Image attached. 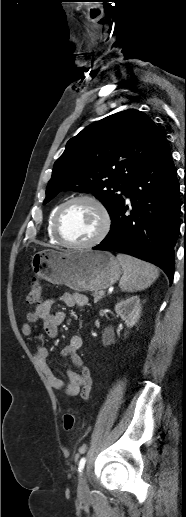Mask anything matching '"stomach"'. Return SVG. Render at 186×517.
Returning <instances> with one entry per match:
<instances>
[{
	"instance_id": "0dacf381",
	"label": "stomach",
	"mask_w": 186,
	"mask_h": 517,
	"mask_svg": "<svg viewBox=\"0 0 186 517\" xmlns=\"http://www.w3.org/2000/svg\"><path fill=\"white\" fill-rule=\"evenodd\" d=\"M31 265L39 278L78 292L108 288L121 275L120 263L111 253L88 249L43 250L32 256Z\"/></svg>"
}]
</instances>
